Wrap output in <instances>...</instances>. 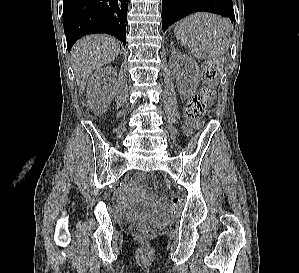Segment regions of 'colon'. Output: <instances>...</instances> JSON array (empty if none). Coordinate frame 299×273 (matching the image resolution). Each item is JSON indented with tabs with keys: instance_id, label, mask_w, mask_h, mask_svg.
Segmentation results:
<instances>
[{
	"instance_id": "obj_1",
	"label": "colon",
	"mask_w": 299,
	"mask_h": 273,
	"mask_svg": "<svg viewBox=\"0 0 299 273\" xmlns=\"http://www.w3.org/2000/svg\"><path fill=\"white\" fill-rule=\"evenodd\" d=\"M201 76L204 85L189 99L185 107L187 121L198 128L201 127L200 120L215 96L214 83L217 79V64L213 61L205 62L201 67ZM179 205L180 198L178 196L172 197L169 218L177 215ZM130 231L136 237L146 238L151 235L152 228L147 224L135 223L131 226Z\"/></svg>"
}]
</instances>
